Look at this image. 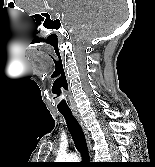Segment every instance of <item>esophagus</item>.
Instances as JSON below:
<instances>
[{"instance_id":"1","label":"esophagus","mask_w":155,"mask_h":167,"mask_svg":"<svg viewBox=\"0 0 155 167\" xmlns=\"http://www.w3.org/2000/svg\"><path fill=\"white\" fill-rule=\"evenodd\" d=\"M73 113H74L76 119L78 120V122L80 123L81 127L83 128V130L85 132V135H86V139H87V143H88L89 149H91L89 133L86 130V127H85V125L83 123V120H82L80 114L77 111H74Z\"/></svg>"}]
</instances>
